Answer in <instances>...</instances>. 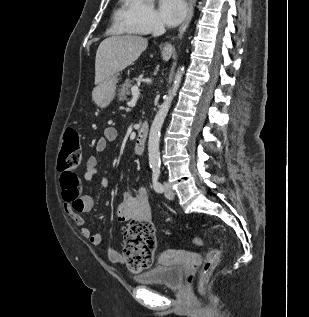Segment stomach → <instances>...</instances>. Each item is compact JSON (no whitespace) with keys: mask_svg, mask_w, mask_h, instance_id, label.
I'll return each instance as SVG.
<instances>
[{"mask_svg":"<svg viewBox=\"0 0 309 317\" xmlns=\"http://www.w3.org/2000/svg\"><path fill=\"white\" fill-rule=\"evenodd\" d=\"M117 82V76H112L93 90L92 99L97 106L107 107L114 100Z\"/></svg>","mask_w":309,"mask_h":317,"instance_id":"0dacf381","label":"stomach"}]
</instances>
